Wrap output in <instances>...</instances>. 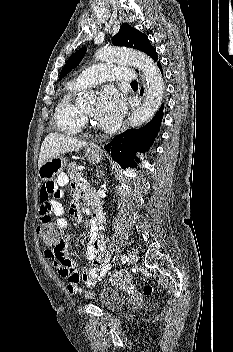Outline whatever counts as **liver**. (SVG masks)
<instances>
[{
  "instance_id": "6515ba94",
  "label": "liver",
  "mask_w": 233,
  "mask_h": 352,
  "mask_svg": "<svg viewBox=\"0 0 233 352\" xmlns=\"http://www.w3.org/2000/svg\"><path fill=\"white\" fill-rule=\"evenodd\" d=\"M88 146V143L58 133L48 134L40 149L38 167L51 158L59 157L64 153L79 151Z\"/></svg>"
}]
</instances>
